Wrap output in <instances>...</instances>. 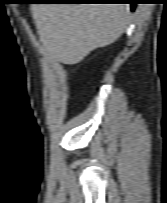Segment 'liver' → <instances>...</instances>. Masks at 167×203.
I'll return each mask as SVG.
<instances>
[{"label": "liver", "mask_w": 167, "mask_h": 203, "mask_svg": "<svg viewBox=\"0 0 167 203\" xmlns=\"http://www.w3.org/2000/svg\"><path fill=\"white\" fill-rule=\"evenodd\" d=\"M32 11L48 53L69 65L115 42L129 23L123 4H34Z\"/></svg>", "instance_id": "1"}]
</instances>
